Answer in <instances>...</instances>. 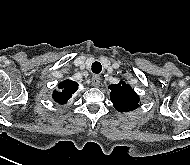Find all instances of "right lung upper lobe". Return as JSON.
I'll return each instance as SVG.
<instances>
[{
    "label": "right lung upper lobe",
    "instance_id": "cb5924a9",
    "mask_svg": "<svg viewBox=\"0 0 190 165\" xmlns=\"http://www.w3.org/2000/svg\"><path fill=\"white\" fill-rule=\"evenodd\" d=\"M61 91L53 93V99L59 104H65L78 89V84L72 80H65L58 85Z\"/></svg>",
    "mask_w": 190,
    "mask_h": 165
}]
</instances>
